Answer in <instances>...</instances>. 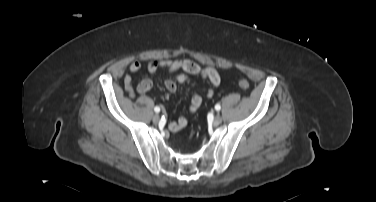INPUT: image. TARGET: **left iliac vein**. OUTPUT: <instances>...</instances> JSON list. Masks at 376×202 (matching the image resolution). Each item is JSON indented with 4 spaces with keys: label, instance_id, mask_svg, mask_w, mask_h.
Instances as JSON below:
<instances>
[{
    "label": "left iliac vein",
    "instance_id": "left-iliac-vein-1",
    "mask_svg": "<svg viewBox=\"0 0 376 202\" xmlns=\"http://www.w3.org/2000/svg\"><path fill=\"white\" fill-rule=\"evenodd\" d=\"M221 122H222V117L219 114L215 115L213 119V124L219 125Z\"/></svg>",
    "mask_w": 376,
    "mask_h": 202
}]
</instances>
